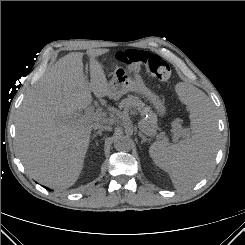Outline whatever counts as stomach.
<instances>
[{
    "label": "stomach",
    "instance_id": "1",
    "mask_svg": "<svg viewBox=\"0 0 245 245\" xmlns=\"http://www.w3.org/2000/svg\"><path fill=\"white\" fill-rule=\"evenodd\" d=\"M109 86L112 91V98L118 99L129 92H135L147 98L159 116L165 115L166 108L163 101L145 85L139 74H129L126 68L117 67L113 72Z\"/></svg>",
    "mask_w": 245,
    "mask_h": 245
}]
</instances>
